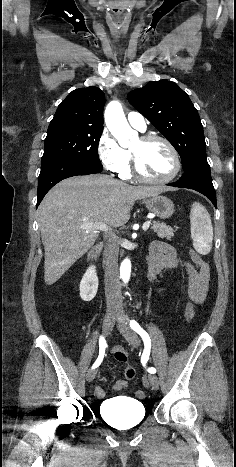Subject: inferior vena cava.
<instances>
[{
  "mask_svg": "<svg viewBox=\"0 0 236 467\" xmlns=\"http://www.w3.org/2000/svg\"><path fill=\"white\" fill-rule=\"evenodd\" d=\"M119 246L116 236L109 234L104 249L105 295L107 307H122L121 283L118 271Z\"/></svg>",
  "mask_w": 236,
  "mask_h": 467,
  "instance_id": "obj_1",
  "label": "inferior vena cava"
}]
</instances>
